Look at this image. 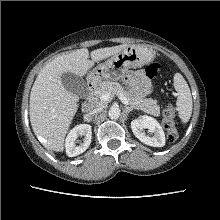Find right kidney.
Instances as JSON below:
<instances>
[{
	"label": "right kidney",
	"mask_w": 220,
	"mask_h": 220,
	"mask_svg": "<svg viewBox=\"0 0 220 220\" xmlns=\"http://www.w3.org/2000/svg\"><path fill=\"white\" fill-rule=\"evenodd\" d=\"M84 136L83 142L76 146L77 138ZM91 126L89 124H79L75 126L67 135L65 141L66 154L75 157L85 152L91 143Z\"/></svg>",
	"instance_id": "ca27d5eb"
}]
</instances>
